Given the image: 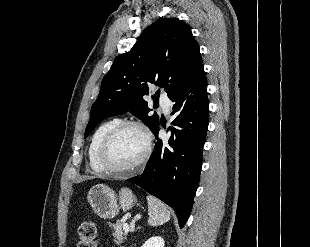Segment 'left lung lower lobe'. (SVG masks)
Segmentation results:
<instances>
[{
	"instance_id": "1",
	"label": "left lung lower lobe",
	"mask_w": 310,
	"mask_h": 247,
	"mask_svg": "<svg viewBox=\"0 0 310 247\" xmlns=\"http://www.w3.org/2000/svg\"><path fill=\"white\" fill-rule=\"evenodd\" d=\"M174 102L168 140L158 139L144 172L128 181L172 207L182 228L188 220L202 167L209 123L207 80L203 66L171 97Z\"/></svg>"
}]
</instances>
